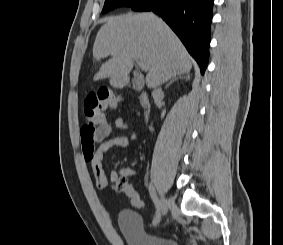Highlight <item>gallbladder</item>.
<instances>
[{
    "label": "gallbladder",
    "mask_w": 283,
    "mask_h": 245,
    "mask_svg": "<svg viewBox=\"0 0 283 245\" xmlns=\"http://www.w3.org/2000/svg\"><path fill=\"white\" fill-rule=\"evenodd\" d=\"M136 87H137L138 89H140V88H141V85H139V84L136 83Z\"/></svg>",
    "instance_id": "gallbladder-1"
}]
</instances>
